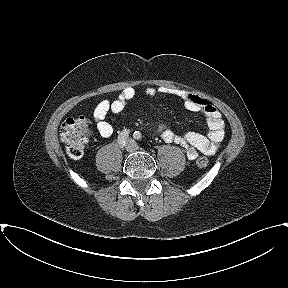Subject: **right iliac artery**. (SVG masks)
<instances>
[{"instance_id": "right-iliac-artery-1", "label": "right iliac artery", "mask_w": 288, "mask_h": 288, "mask_svg": "<svg viewBox=\"0 0 288 288\" xmlns=\"http://www.w3.org/2000/svg\"><path fill=\"white\" fill-rule=\"evenodd\" d=\"M129 136V130L125 129L123 130L119 136H118V143L120 145V147H123L126 144V140Z\"/></svg>"}]
</instances>
